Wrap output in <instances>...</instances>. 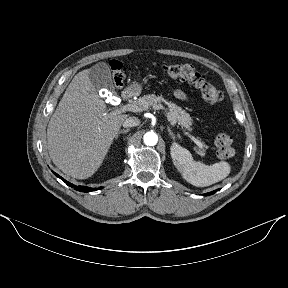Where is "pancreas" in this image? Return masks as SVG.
Wrapping results in <instances>:
<instances>
[{
    "label": "pancreas",
    "mask_w": 288,
    "mask_h": 288,
    "mask_svg": "<svg viewBox=\"0 0 288 288\" xmlns=\"http://www.w3.org/2000/svg\"><path fill=\"white\" fill-rule=\"evenodd\" d=\"M133 103L137 104L142 111L148 110L150 107H153L157 104L164 103L168 106L169 114L173 118L175 122L180 124L181 126L189 129L190 125L192 124V119L190 115L183 110L181 107L177 106L175 103L171 101H167L162 95L156 96L154 94L144 95L140 97L138 100L134 101ZM201 155L204 154L203 151L199 150Z\"/></svg>",
    "instance_id": "pancreas-1"
}]
</instances>
